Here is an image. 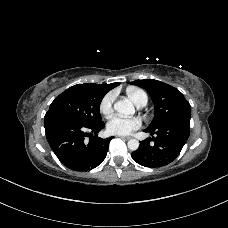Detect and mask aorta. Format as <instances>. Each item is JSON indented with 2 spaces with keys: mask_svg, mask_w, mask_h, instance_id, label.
Returning <instances> with one entry per match:
<instances>
[{
  "mask_svg": "<svg viewBox=\"0 0 228 228\" xmlns=\"http://www.w3.org/2000/svg\"><path fill=\"white\" fill-rule=\"evenodd\" d=\"M114 109L125 117H132L135 113V108L132 102L128 99L117 101L114 104ZM127 145L131 151H135L139 148V141L136 139H130Z\"/></svg>",
  "mask_w": 228,
  "mask_h": 228,
  "instance_id": "1",
  "label": "aorta"
}]
</instances>
